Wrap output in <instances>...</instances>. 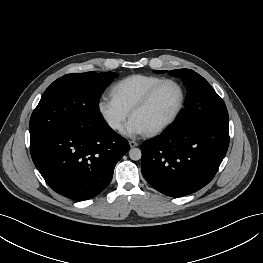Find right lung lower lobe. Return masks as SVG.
I'll return each instance as SVG.
<instances>
[{
    "label": "right lung lower lobe",
    "mask_w": 263,
    "mask_h": 263,
    "mask_svg": "<svg viewBox=\"0 0 263 263\" xmlns=\"http://www.w3.org/2000/svg\"><path fill=\"white\" fill-rule=\"evenodd\" d=\"M129 149L105 121L62 128L30 142L33 162L46 183L76 201L98 195Z\"/></svg>",
    "instance_id": "right-lung-lower-lobe-1"
}]
</instances>
